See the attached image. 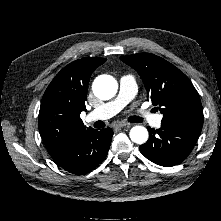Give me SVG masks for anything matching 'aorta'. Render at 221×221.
<instances>
[{
  "instance_id": "aorta-1",
  "label": "aorta",
  "mask_w": 221,
  "mask_h": 221,
  "mask_svg": "<svg viewBox=\"0 0 221 221\" xmlns=\"http://www.w3.org/2000/svg\"><path fill=\"white\" fill-rule=\"evenodd\" d=\"M117 81L110 75L98 76L92 85L93 93L102 100L111 99L117 92ZM130 139L137 144H144L148 140V131L143 126H134L129 133Z\"/></svg>"
}]
</instances>
